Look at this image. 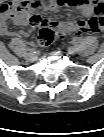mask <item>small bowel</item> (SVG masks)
Returning <instances> with one entry per match:
<instances>
[{
  "instance_id": "c3829d8e",
  "label": "small bowel",
  "mask_w": 104,
  "mask_h": 137,
  "mask_svg": "<svg viewBox=\"0 0 104 137\" xmlns=\"http://www.w3.org/2000/svg\"><path fill=\"white\" fill-rule=\"evenodd\" d=\"M68 6L82 11L88 20H77L58 24L47 20L37 11L43 9L53 12L60 7ZM104 5L99 0H14L7 2L0 9V32L8 37L21 38L27 35L25 31H12L10 23L18 26H54L61 33H99L103 26ZM96 18L97 21L93 22ZM32 19H34L32 21Z\"/></svg>"
}]
</instances>
